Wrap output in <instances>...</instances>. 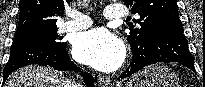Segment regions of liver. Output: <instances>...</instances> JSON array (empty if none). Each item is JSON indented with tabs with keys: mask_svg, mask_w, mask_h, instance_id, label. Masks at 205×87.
<instances>
[{
	"mask_svg": "<svg viewBox=\"0 0 205 87\" xmlns=\"http://www.w3.org/2000/svg\"><path fill=\"white\" fill-rule=\"evenodd\" d=\"M62 74L51 67L25 66L9 76L4 87H69Z\"/></svg>",
	"mask_w": 205,
	"mask_h": 87,
	"instance_id": "obj_1",
	"label": "liver"
}]
</instances>
